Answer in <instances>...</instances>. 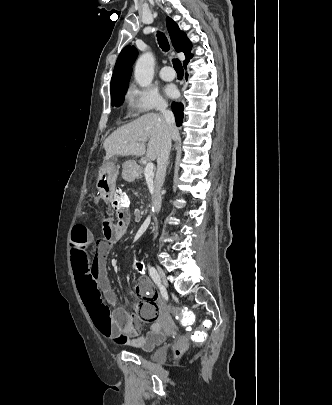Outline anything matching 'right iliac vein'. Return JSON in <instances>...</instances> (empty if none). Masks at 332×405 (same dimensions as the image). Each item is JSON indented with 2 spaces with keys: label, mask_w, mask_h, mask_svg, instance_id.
Instances as JSON below:
<instances>
[{
  "label": "right iliac vein",
  "mask_w": 332,
  "mask_h": 405,
  "mask_svg": "<svg viewBox=\"0 0 332 405\" xmlns=\"http://www.w3.org/2000/svg\"><path fill=\"white\" fill-rule=\"evenodd\" d=\"M156 271H157V274H158L160 280H161L165 285H167V277H166L165 272H164L160 267H157Z\"/></svg>",
  "instance_id": "right-iliac-vein-1"
}]
</instances>
